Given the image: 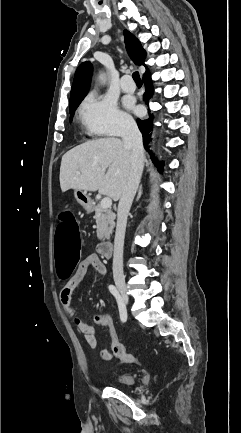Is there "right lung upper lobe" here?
<instances>
[{
    "mask_svg": "<svg viewBox=\"0 0 241 433\" xmlns=\"http://www.w3.org/2000/svg\"><path fill=\"white\" fill-rule=\"evenodd\" d=\"M125 44L129 56L137 65H144L145 50L142 48L139 40L128 30H124ZM149 73L146 72L143 76ZM92 76V65L90 62H83L77 68L70 94V108L74 107L78 102L82 101L88 93Z\"/></svg>",
    "mask_w": 241,
    "mask_h": 433,
    "instance_id": "right-lung-upper-lobe-1",
    "label": "right lung upper lobe"
}]
</instances>
